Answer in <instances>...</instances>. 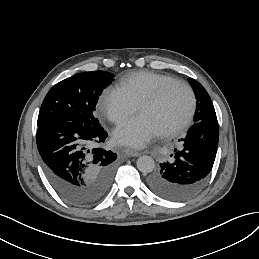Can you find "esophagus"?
Wrapping results in <instances>:
<instances>
[{
    "label": "esophagus",
    "instance_id": "34e87169",
    "mask_svg": "<svg viewBox=\"0 0 259 259\" xmlns=\"http://www.w3.org/2000/svg\"><path fill=\"white\" fill-rule=\"evenodd\" d=\"M126 154L130 157H139L140 156V153H138L134 150H131V149H127Z\"/></svg>",
    "mask_w": 259,
    "mask_h": 259
}]
</instances>
